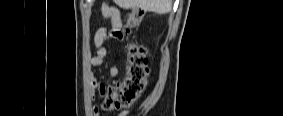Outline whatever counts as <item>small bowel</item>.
<instances>
[{
    "mask_svg": "<svg viewBox=\"0 0 283 116\" xmlns=\"http://www.w3.org/2000/svg\"><path fill=\"white\" fill-rule=\"evenodd\" d=\"M100 11L104 18L110 20V28L102 26L97 29L94 35V47L95 54L89 59V63L93 67H100L104 64L105 59L108 55V50L105 46V42L111 38L116 37L120 38L121 29H122V20L121 15L118 9L114 7H109L105 3L100 5ZM119 67L117 65H112L109 67V76L112 81H114L119 75ZM99 82L97 79L92 81V86L97 87ZM126 112H123L121 115H126ZM92 115L98 116L99 110L97 106L92 107Z\"/></svg>",
    "mask_w": 283,
    "mask_h": 116,
    "instance_id": "small-bowel-1",
    "label": "small bowel"
}]
</instances>
